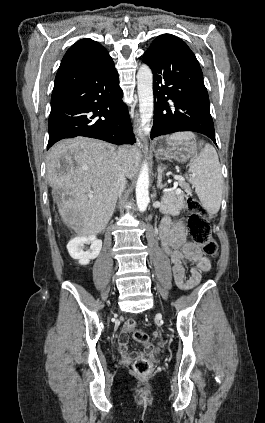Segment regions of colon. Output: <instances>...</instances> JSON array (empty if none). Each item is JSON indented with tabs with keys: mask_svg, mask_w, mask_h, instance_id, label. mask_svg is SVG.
Instances as JSON below:
<instances>
[{
	"mask_svg": "<svg viewBox=\"0 0 265 423\" xmlns=\"http://www.w3.org/2000/svg\"><path fill=\"white\" fill-rule=\"evenodd\" d=\"M187 207L189 210L187 226L193 241L202 247L206 255L217 257L218 245L212 237L208 213L194 198L187 199ZM136 327L137 323L133 319L127 320L124 325L125 330L131 332L135 340L149 346V335L137 330ZM133 369L136 374L147 376L152 372V365L146 358H138L134 362Z\"/></svg>",
	"mask_w": 265,
	"mask_h": 423,
	"instance_id": "colon-1",
	"label": "colon"
}]
</instances>
